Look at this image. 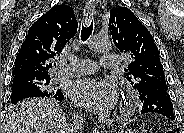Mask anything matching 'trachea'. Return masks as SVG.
I'll return each mask as SVG.
<instances>
[{"label":"trachea","instance_id":"obj_1","mask_svg":"<svg viewBox=\"0 0 184 133\" xmlns=\"http://www.w3.org/2000/svg\"><path fill=\"white\" fill-rule=\"evenodd\" d=\"M92 30H93V21L88 26H84L82 24L81 40L83 42H85L90 37V35L92 34Z\"/></svg>","mask_w":184,"mask_h":133}]
</instances>
